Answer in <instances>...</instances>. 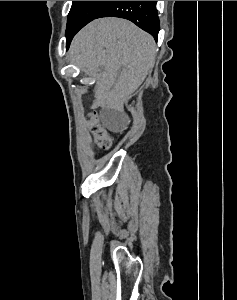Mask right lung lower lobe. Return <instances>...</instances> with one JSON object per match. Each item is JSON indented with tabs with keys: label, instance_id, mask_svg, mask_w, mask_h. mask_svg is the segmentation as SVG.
<instances>
[{
	"label": "right lung lower lobe",
	"instance_id": "right-lung-lower-lobe-1",
	"mask_svg": "<svg viewBox=\"0 0 237 300\" xmlns=\"http://www.w3.org/2000/svg\"><path fill=\"white\" fill-rule=\"evenodd\" d=\"M101 17L128 19L154 36L157 41L160 27L156 1H112L97 18Z\"/></svg>",
	"mask_w": 237,
	"mask_h": 300
}]
</instances>
